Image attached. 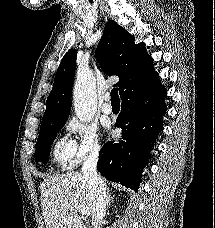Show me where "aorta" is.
Returning a JSON list of instances; mask_svg holds the SVG:
<instances>
[{"instance_id": "762f6f07", "label": "aorta", "mask_w": 215, "mask_h": 228, "mask_svg": "<svg viewBox=\"0 0 215 228\" xmlns=\"http://www.w3.org/2000/svg\"><path fill=\"white\" fill-rule=\"evenodd\" d=\"M75 114L79 122H91L96 114V88L92 78L77 76L73 92Z\"/></svg>"}]
</instances>
